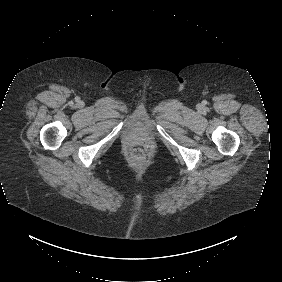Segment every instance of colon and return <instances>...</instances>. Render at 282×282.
Listing matches in <instances>:
<instances>
[{
	"label": "colon",
	"instance_id": "5ec220e1",
	"mask_svg": "<svg viewBox=\"0 0 282 282\" xmlns=\"http://www.w3.org/2000/svg\"><path fill=\"white\" fill-rule=\"evenodd\" d=\"M130 161L136 167H143L149 161V154L143 148H136L130 154Z\"/></svg>",
	"mask_w": 282,
	"mask_h": 282
}]
</instances>
